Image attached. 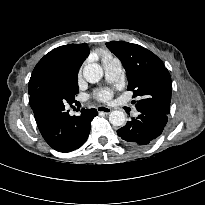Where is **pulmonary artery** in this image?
I'll list each match as a JSON object with an SVG mask.
<instances>
[{
  "mask_svg": "<svg viewBox=\"0 0 205 205\" xmlns=\"http://www.w3.org/2000/svg\"><path fill=\"white\" fill-rule=\"evenodd\" d=\"M104 70H105V75L108 80H114L118 77L121 69V64L119 60L114 59L106 64L103 65ZM134 116L138 115L137 111L133 112Z\"/></svg>",
  "mask_w": 205,
  "mask_h": 205,
  "instance_id": "1",
  "label": "pulmonary artery"
}]
</instances>
